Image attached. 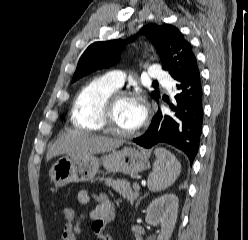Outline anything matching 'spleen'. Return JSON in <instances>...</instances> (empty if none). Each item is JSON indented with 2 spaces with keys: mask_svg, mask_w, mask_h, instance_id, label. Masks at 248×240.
I'll use <instances>...</instances> for the list:
<instances>
[{
  "mask_svg": "<svg viewBox=\"0 0 248 240\" xmlns=\"http://www.w3.org/2000/svg\"><path fill=\"white\" fill-rule=\"evenodd\" d=\"M154 154L156 160L153 164V171L148 177V188L152 192H158L168 188L176 181L181 172V164L165 148H156Z\"/></svg>",
  "mask_w": 248,
  "mask_h": 240,
  "instance_id": "spleen-1",
  "label": "spleen"
}]
</instances>
